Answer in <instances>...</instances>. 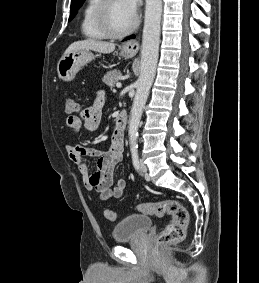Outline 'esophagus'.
I'll use <instances>...</instances> for the list:
<instances>
[{
	"mask_svg": "<svg viewBox=\"0 0 259 283\" xmlns=\"http://www.w3.org/2000/svg\"><path fill=\"white\" fill-rule=\"evenodd\" d=\"M122 50L129 54H136L139 50V42L137 41V39L127 40L122 45Z\"/></svg>",
	"mask_w": 259,
	"mask_h": 283,
	"instance_id": "34e87169",
	"label": "esophagus"
}]
</instances>
